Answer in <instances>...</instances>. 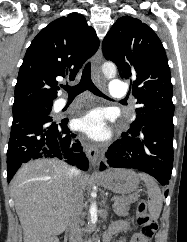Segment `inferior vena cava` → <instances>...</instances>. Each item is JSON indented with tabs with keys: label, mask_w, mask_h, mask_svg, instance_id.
Listing matches in <instances>:
<instances>
[{
	"label": "inferior vena cava",
	"mask_w": 187,
	"mask_h": 242,
	"mask_svg": "<svg viewBox=\"0 0 187 242\" xmlns=\"http://www.w3.org/2000/svg\"><path fill=\"white\" fill-rule=\"evenodd\" d=\"M80 171L78 169H70L68 176L72 181V204L71 216L69 220L70 239L69 242H82L81 230L79 227L80 217L83 210V189L78 185L76 179Z\"/></svg>",
	"instance_id": "inferior-vena-cava-1"
}]
</instances>
